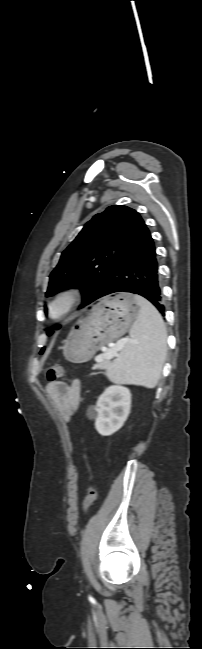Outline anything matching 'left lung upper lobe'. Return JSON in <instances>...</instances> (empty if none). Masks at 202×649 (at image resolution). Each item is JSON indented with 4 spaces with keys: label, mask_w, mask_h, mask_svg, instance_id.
I'll return each instance as SVG.
<instances>
[{
    "label": "left lung upper lobe",
    "mask_w": 202,
    "mask_h": 649,
    "mask_svg": "<svg viewBox=\"0 0 202 649\" xmlns=\"http://www.w3.org/2000/svg\"><path fill=\"white\" fill-rule=\"evenodd\" d=\"M143 223L138 212L123 205L110 206L96 214L62 253L50 275L46 296L63 289L81 288V307L95 301L128 242ZM52 332L49 329L47 334Z\"/></svg>",
    "instance_id": "5c2ea615"
}]
</instances>
